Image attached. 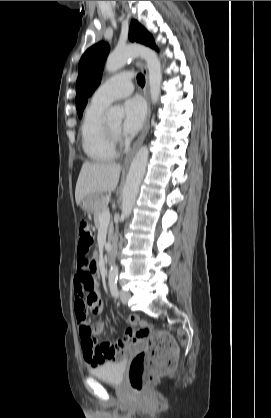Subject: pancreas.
I'll return each instance as SVG.
<instances>
[{
	"instance_id": "1",
	"label": "pancreas",
	"mask_w": 271,
	"mask_h": 418,
	"mask_svg": "<svg viewBox=\"0 0 271 418\" xmlns=\"http://www.w3.org/2000/svg\"><path fill=\"white\" fill-rule=\"evenodd\" d=\"M108 209V201L107 198L105 196L101 197L100 203L98 205V207L96 208V210L94 211V223L96 228H99L100 226V216L101 214ZM113 233V224L110 223L109 225V229H108V236L109 238L112 236Z\"/></svg>"
}]
</instances>
